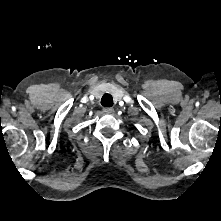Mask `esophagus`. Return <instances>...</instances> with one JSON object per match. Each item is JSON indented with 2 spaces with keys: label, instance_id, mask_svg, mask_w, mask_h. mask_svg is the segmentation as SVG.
<instances>
[{
  "label": "esophagus",
  "instance_id": "obj_1",
  "mask_svg": "<svg viewBox=\"0 0 221 221\" xmlns=\"http://www.w3.org/2000/svg\"><path fill=\"white\" fill-rule=\"evenodd\" d=\"M103 111L107 114L113 113L114 109L112 107L103 108Z\"/></svg>",
  "mask_w": 221,
  "mask_h": 221
}]
</instances>
